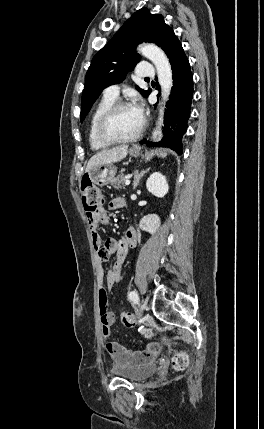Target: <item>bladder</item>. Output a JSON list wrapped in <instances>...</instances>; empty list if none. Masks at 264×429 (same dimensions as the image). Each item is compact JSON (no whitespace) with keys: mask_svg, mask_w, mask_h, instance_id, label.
Returning <instances> with one entry per match:
<instances>
[{"mask_svg":"<svg viewBox=\"0 0 264 429\" xmlns=\"http://www.w3.org/2000/svg\"><path fill=\"white\" fill-rule=\"evenodd\" d=\"M156 371L157 365L154 362H149L137 366L119 367L113 370V374L130 382H140L153 376Z\"/></svg>","mask_w":264,"mask_h":429,"instance_id":"31cf9c89","label":"bladder"}]
</instances>
